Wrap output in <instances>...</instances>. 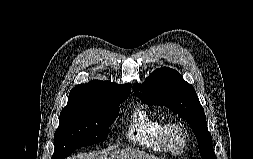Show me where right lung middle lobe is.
I'll use <instances>...</instances> for the list:
<instances>
[{"label": "right lung middle lobe", "mask_w": 253, "mask_h": 159, "mask_svg": "<svg viewBox=\"0 0 253 159\" xmlns=\"http://www.w3.org/2000/svg\"><path fill=\"white\" fill-rule=\"evenodd\" d=\"M124 100L68 101L60 113L52 159H64L75 149L106 140Z\"/></svg>", "instance_id": "obj_1"}]
</instances>
